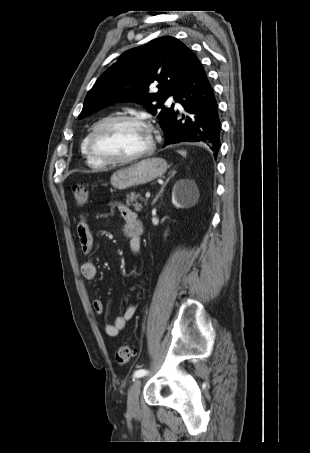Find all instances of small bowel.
Listing matches in <instances>:
<instances>
[{"instance_id":"1","label":"small bowel","mask_w":310,"mask_h":453,"mask_svg":"<svg viewBox=\"0 0 310 453\" xmlns=\"http://www.w3.org/2000/svg\"><path fill=\"white\" fill-rule=\"evenodd\" d=\"M119 211L125 221L124 233L129 238L130 248L134 255H138L141 248V234L143 231L142 224L137 214L125 205H118ZM77 235L82 252L88 255L94 247L93 235L90 225L86 218L81 217L77 224ZM83 277L87 280L94 281L98 278L96 266L91 261H84L80 266ZM93 309L97 314L104 311L103 302L100 299L93 301ZM136 312V305L130 303L126 306L122 315L117 316L112 323L105 325V333L109 337H115L125 327Z\"/></svg>"}]
</instances>
